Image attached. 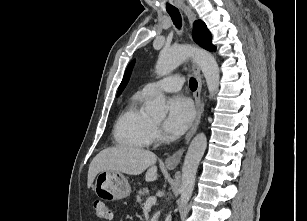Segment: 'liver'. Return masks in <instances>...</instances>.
<instances>
[{
	"label": "liver",
	"mask_w": 307,
	"mask_h": 221,
	"mask_svg": "<svg viewBox=\"0 0 307 221\" xmlns=\"http://www.w3.org/2000/svg\"><path fill=\"white\" fill-rule=\"evenodd\" d=\"M156 161L157 156L153 152L140 147L106 148L98 153L90 163L87 186L90 188L97 174L103 171L139 175L147 169L145 180L154 181L157 178Z\"/></svg>",
	"instance_id": "6515ba94"
}]
</instances>
